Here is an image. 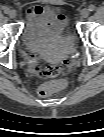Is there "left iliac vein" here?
Instances as JSON below:
<instances>
[{
  "label": "left iliac vein",
  "instance_id": "1",
  "mask_svg": "<svg viewBox=\"0 0 104 137\" xmlns=\"http://www.w3.org/2000/svg\"><path fill=\"white\" fill-rule=\"evenodd\" d=\"M80 14H81V17H82V18H87V17L89 16L90 12H89L88 9L85 8V9H82V10H81V13H80Z\"/></svg>",
  "mask_w": 104,
  "mask_h": 137
}]
</instances>
